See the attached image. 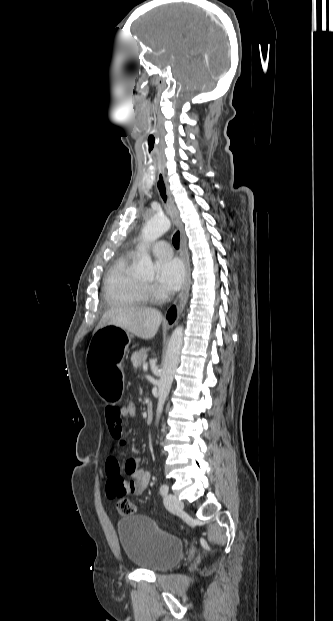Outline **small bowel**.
Here are the masks:
<instances>
[{"label": "small bowel", "mask_w": 333, "mask_h": 621, "mask_svg": "<svg viewBox=\"0 0 333 621\" xmlns=\"http://www.w3.org/2000/svg\"><path fill=\"white\" fill-rule=\"evenodd\" d=\"M123 412L118 405H109L105 409V421L109 435L124 444L122 420ZM106 493L111 499L123 498L129 495L142 494L149 485L150 474L139 465V460L128 459L122 466L115 457L106 460ZM127 474L130 479L125 480L122 474Z\"/></svg>", "instance_id": "1"}]
</instances>
